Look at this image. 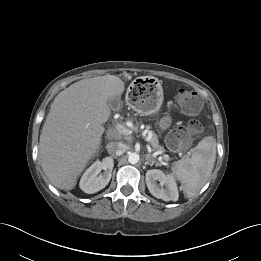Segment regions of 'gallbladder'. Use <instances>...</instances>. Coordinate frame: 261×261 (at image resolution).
<instances>
[{
	"label": "gallbladder",
	"instance_id": "1",
	"mask_svg": "<svg viewBox=\"0 0 261 261\" xmlns=\"http://www.w3.org/2000/svg\"><path fill=\"white\" fill-rule=\"evenodd\" d=\"M107 104L111 109L114 110L120 105V100L117 98H111L108 100Z\"/></svg>",
	"mask_w": 261,
	"mask_h": 261
}]
</instances>
